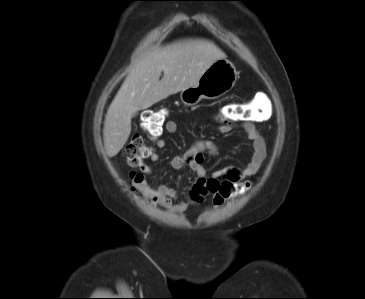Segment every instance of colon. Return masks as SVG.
I'll use <instances>...</instances> for the list:
<instances>
[{
  "label": "colon",
  "mask_w": 365,
  "mask_h": 299,
  "mask_svg": "<svg viewBox=\"0 0 365 299\" xmlns=\"http://www.w3.org/2000/svg\"><path fill=\"white\" fill-rule=\"evenodd\" d=\"M168 115L165 108L146 110L142 114L141 127L152 137H157L162 133L163 124ZM250 107V103H236L225 106L218 119L220 122L245 121L260 118ZM152 153V149L144 142L140 135H135L125 149V157L130 166L137 167L147 159ZM135 184L142 182L139 175H133ZM250 182H206L199 186H193L190 191V199L193 203L199 204L206 195L213 194V202L215 206H221L225 201L235 197L245 190L249 189ZM136 190V186L133 185Z\"/></svg>",
  "instance_id": "5ec220e1"
}]
</instances>
